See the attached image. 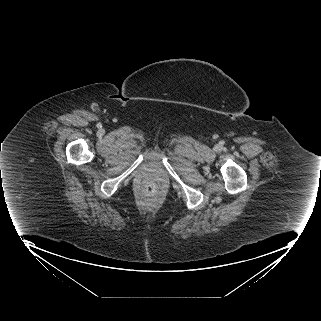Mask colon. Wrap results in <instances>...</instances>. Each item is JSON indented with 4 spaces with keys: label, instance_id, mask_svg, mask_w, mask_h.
I'll list each match as a JSON object with an SVG mask.
<instances>
[{
    "label": "colon",
    "instance_id": "5ec220e1",
    "mask_svg": "<svg viewBox=\"0 0 321 321\" xmlns=\"http://www.w3.org/2000/svg\"><path fill=\"white\" fill-rule=\"evenodd\" d=\"M145 191L147 195L154 196L158 191V187L155 183H148L145 187Z\"/></svg>",
    "mask_w": 321,
    "mask_h": 321
}]
</instances>
